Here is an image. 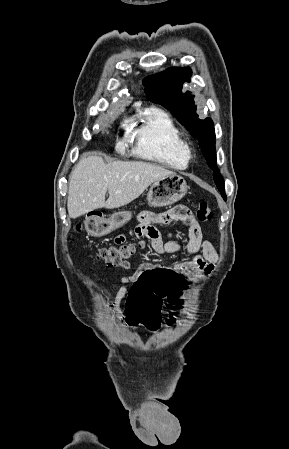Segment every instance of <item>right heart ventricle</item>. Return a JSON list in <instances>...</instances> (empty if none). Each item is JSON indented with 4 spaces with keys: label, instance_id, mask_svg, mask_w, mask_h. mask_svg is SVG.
Segmentation results:
<instances>
[{
    "label": "right heart ventricle",
    "instance_id": "e07e8e85",
    "mask_svg": "<svg viewBox=\"0 0 289 449\" xmlns=\"http://www.w3.org/2000/svg\"><path fill=\"white\" fill-rule=\"evenodd\" d=\"M133 151L141 158L174 169H185L189 157L185 141L172 118L162 109L150 107L138 117L133 131Z\"/></svg>",
    "mask_w": 289,
    "mask_h": 449
}]
</instances>
